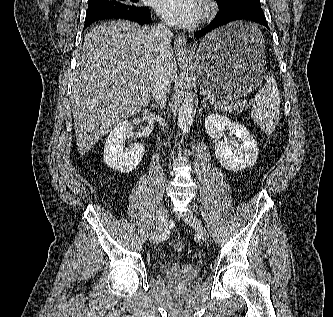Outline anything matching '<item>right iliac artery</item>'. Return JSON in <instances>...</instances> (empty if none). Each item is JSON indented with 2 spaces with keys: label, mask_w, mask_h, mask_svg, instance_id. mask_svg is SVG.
<instances>
[{
  "label": "right iliac artery",
  "mask_w": 333,
  "mask_h": 317,
  "mask_svg": "<svg viewBox=\"0 0 333 317\" xmlns=\"http://www.w3.org/2000/svg\"><path fill=\"white\" fill-rule=\"evenodd\" d=\"M169 237V231H167L164 235H162V237H160L159 240H165Z\"/></svg>",
  "instance_id": "obj_1"
}]
</instances>
